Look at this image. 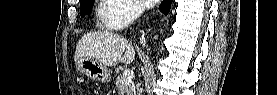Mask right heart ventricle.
Here are the masks:
<instances>
[{
    "label": "right heart ventricle",
    "mask_w": 277,
    "mask_h": 95,
    "mask_svg": "<svg viewBox=\"0 0 277 95\" xmlns=\"http://www.w3.org/2000/svg\"><path fill=\"white\" fill-rule=\"evenodd\" d=\"M121 4L116 0H100L97 10V25L102 30H113L117 27L118 17L116 11Z\"/></svg>",
    "instance_id": "obj_1"
}]
</instances>
